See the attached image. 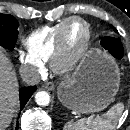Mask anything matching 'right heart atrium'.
Segmentation results:
<instances>
[{
	"mask_svg": "<svg viewBox=\"0 0 130 130\" xmlns=\"http://www.w3.org/2000/svg\"><path fill=\"white\" fill-rule=\"evenodd\" d=\"M17 57L21 66L31 69L35 74H41L43 72V62L32 57L29 53L19 51Z\"/></svg>",
	"mask_w": 130,
	"mask_h": 130,
	"instance_id": "right-heart-atrium-1",
	"label": "right heart atrium"
}]
</instances>
